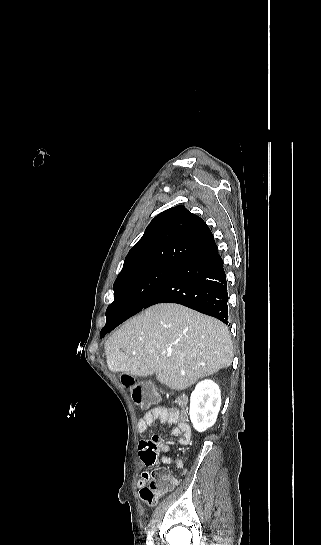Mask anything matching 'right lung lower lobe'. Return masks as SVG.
Returning a JSON list of instances; mask_svg holds the SVG:
<instances>
[{
    "label": "right lung lower lobe",
    "mask_w": 321,
    "mask_h": 545,
    "mask_svg": "<svg viewBox=\"0 0 321 545\" xmlns=\"http://www.w3.org/2000/svg\"><path fill=\"white\" fill-rule=\"evenodd\" d=\"M227 302L223 260L213 240L179 266L143 308L158 303H178L228 324ZM107 313L110 322L102 328L101 338L125 321L115 319L114 310Z\"/></svg>",
    "instance_id": "98d812e1"
}]
</instances>
